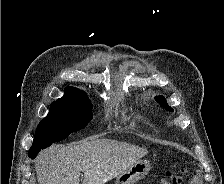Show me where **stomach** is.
I'll use <instances>...</instances> for the list:
<instances>
[{
	"mask_svg": "<svg viewBox=\"0 0 224 184\" xmlns=\"http://www.w3.org/2000/svg\"><path fill=\"white\" fill-rule=\"evenodd\" d=\"M149 161L139 160L117 176L115 184H134L143 179L150 171Z\"/></svg>",
	"mask_w": 224,
	"mask_h": 184,
	"instance_id": "0dacf381",
	"label": "stomach"
}]
</instances>
